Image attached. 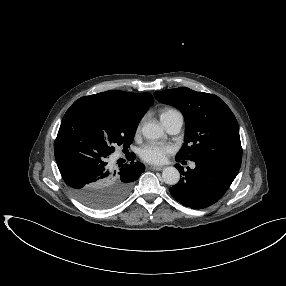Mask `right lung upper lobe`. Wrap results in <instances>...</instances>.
<instances>
[{
    "instance_id": "obj_1",
    "label": "right lung upper lobe",
    "mask_w": 286,
    "mask_h": 286,
    "mask_svg": "<svg viewBox=\"0 0 286 286\" xmlns=\"http://www.w3.org/2000/svg\"><path fill=\"white\" fill-rule=\"evenodd\" d=\"M87 99L101 100L122 109L132 115L142 118L149 106L153 104V97L150 93H129L118 90H110L84 97Z\"/></svg>"
}]
</instances>
